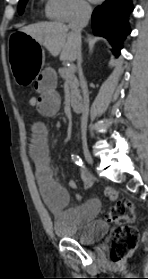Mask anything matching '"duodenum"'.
Wrapping results in <instances>:
<instances>
[{
	"label": "duodenum",
	"mask_w": 148,
	"mask_h": 279,
	"mask_svg": "<svg viewBox=\"0 0 148 279\" xmlns=\"http://www.w3.org/2000/svg\"><path fill=\"white\" fill-rule=\"evenodd\" d=\"M71 107L75 113H80L83 110V103L81 101H74L72 102Z\"/></svg>",
	"instance_id": "1"
}]
</instances>
